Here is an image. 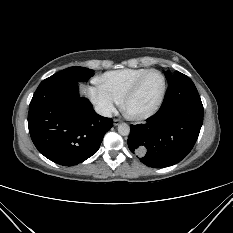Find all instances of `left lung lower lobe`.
Masks as SVG:
<instances>
[{
    "instance_id": "0a47b994",
    "label": "left lung lower lobe",
    "mask_w": 233,
    "mask_h": 233,
    "mask_svg": "<svg viewBox=\"0 0 233 233\" xmlns=\"http://www.w3.org/2000/svg\"><path fill=\"white\" fill-rule=\"evenodd\" d=\"M163 103L145 124L131 125L130 151L153 168L180 162L192 150L203 124V105L192 80L176 71Z\"/></svg>"
}]
</instances>
